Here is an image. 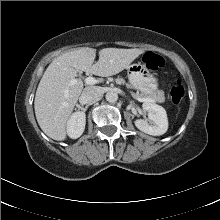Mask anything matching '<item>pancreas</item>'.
I'll use <instances>...</instances> for the list:
<instances>
[{
	"label": "pancreas",
	"instance_id": "1",
	"mask_svg": "<svg viewBox=\"0 0 220 220\" xmlns=\"http://www.w3.org/2000/svg\"><path fill=\"white\" fill-rule=\"evenodd\" d=\"M116 83L118 84H124V80L122 78H118L116 79ZM137 95L139 97H146V98H151L153 99L154 101L156 102H159V103H164L165 102V97H164V94L163 92H159V94L153 96V97H149V96H145L143 95L142 93H137Z\"/></svg>",
	"mask_w": 220,
	"mask_h": 220
}]
</instances>
